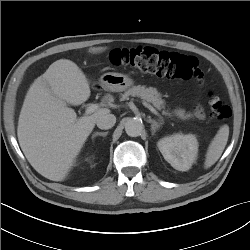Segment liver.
<instances>
[{"instance_id":"liver-1","label":"liver","mask_w":250,"mask_h":250,"mask_svg":"<svg viewBox=\"0 0 250 250\" xmlns=\"http://www.w3.org/2000/svg\"><path fill=\"white\" fill-rule=\"evenodd\" d=\"M106 49L91 47L88 52L97 54ZM90 93L86 75L68 59L53 62L29 88L19 115L17 136L28 162L45 178L63 181L98 117L110 113L108 108H99L77 118L67 104L81 105Z\"/></svg>"}]
</instances>
